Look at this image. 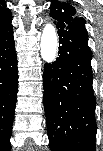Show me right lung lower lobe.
<instances>
[{"mask_svg": "<svg viewBox=\"0 0 103 151\" xmlns=\"http://www.w3.org/2000/svg\"><path fill=\"white\" fill-rule=\"evenodd\" d=\"M18 90L17 57L12 25L0 30V142L10 148Z\"/></svg>", "mask_w": 103, "mask_h": 151, "instance_id": "obj_1", "label": "right lung lower lobe"}]
</instances>
